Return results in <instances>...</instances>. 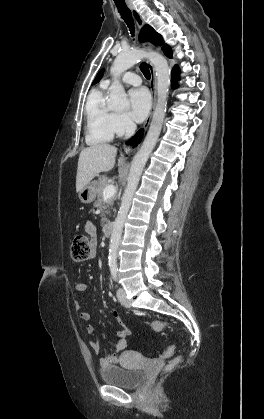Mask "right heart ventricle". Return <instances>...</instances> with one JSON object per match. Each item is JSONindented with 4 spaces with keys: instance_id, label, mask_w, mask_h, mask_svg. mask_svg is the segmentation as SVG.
Segmentation results:
<instances>
[{
    "instance_id": "obj_1",
    "label": "right heart ventricle",
    "mask_w": 264,
    "mask_h": 419,
    "mask_svg": "<svg viewBox=\"0 0 264 419\" xmlns=\"http://www.w3.org/2000/svg\"><path fill=\"white\" fill-rule=\"evenodd\" d=\"M107 85L101 84L93 89L86 103L85 140L90 145L106 143L113 138L112 110L107 106L105 90Z\"/></svg>"
}]
</instances>
